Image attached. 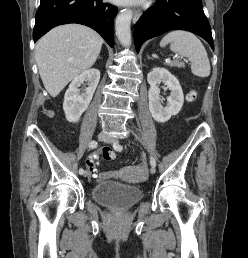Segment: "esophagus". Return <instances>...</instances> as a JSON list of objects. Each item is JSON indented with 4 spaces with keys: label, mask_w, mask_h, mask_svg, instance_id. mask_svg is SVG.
I'll use <instances>...</instances> for the list:
<instances>
[{
    "label": "esophagus",
    "mask_w": 248,
    "mask_h": 258,
    "mask_svg": "<svg viewBox=\"0 0 248 258\" xmlns=\"http://www.w3.org/2000/svg\"><path fill=\"white\" fill-rule=\"evenodd\" d=\"M133 22L135 23L141 16V11L139 9L134 10L133 12Z\"/></svg>",
    "instance_id": "34e87169"
}]
</instances>
